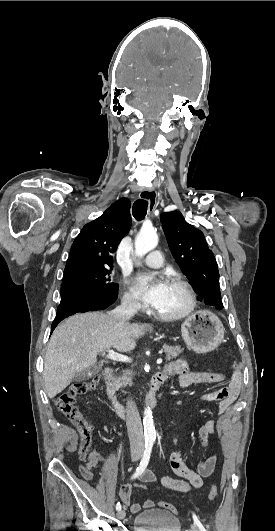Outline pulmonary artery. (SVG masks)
<instances>
[{"mask_svg": "<svg viewBox=\"0 0 275 531\" xmlns=\"http://www.w3.org/2000/svg\"><path fill=\"white\" fill-rule=\"evenodd\" d=\"M144 260L147 264L150 265V268H152L153 266H159L161 268V263H162V256H161V253L159 251H156L154 252L153 255L149 256V258L147 259H142Z\"/></svg>", "mask_w": 275, "mask_h": 531, "instance_id": "e3ab8cb5", "label": "pulmonary artery"}]
</instances>
